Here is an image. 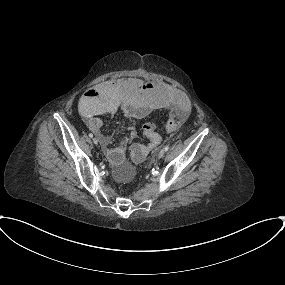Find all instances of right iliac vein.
Here are the masks:
<instances>
[{
	"label": "right iliac vein",
	"instance_id": "obj_1",
	"mask_svg": "<svg viewBox=\"0 0 285 285\" xmlns=\"http://www.w3.org/2000/svg\"><path fill=\"white\" fill-rule=\"evenodd\" d=\"M93 143L97 145L98 144V139L97 138H93Z\"/></svg>",
	"mask_w": 285,
	"mask_h": 285
}]
</instances>
